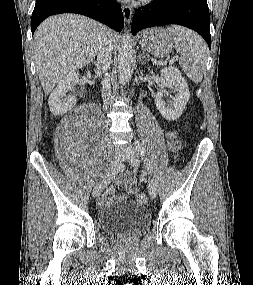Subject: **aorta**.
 Segmentation results:
<instances>
[{
	"instance_id": "762f6f07",
	"label": "aorta",
	"mask_w": 253,
	"mask_h": 285,
	"mask_svg": "<svg viewBox=\"0 0 253 285\" xmlns=\"http://www.w3.org/2000/svg\"><path fill=\"white\" fill-rule=\"evenodd\" d=\"M134 47L131 36L126 33L122 37L118 53V78L121 84L125 83L131 75Z\"/></svg>"
}]
</instances>
